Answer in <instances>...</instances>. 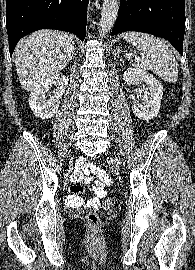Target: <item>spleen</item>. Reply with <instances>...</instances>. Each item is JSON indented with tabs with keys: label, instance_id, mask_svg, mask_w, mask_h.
<instances>
[{
	"label": "spleen",
	"instance_id": "obj_1",
	"mask_svg": "<svg viewBox=\"0 0 195 270\" xmlns=\"http://www.w3.org/2000/svg\"><path fill=\"white\" fill-rule=\"evenodd\" d=\"M125 41L136 45L141 57L136 59L137 66L152 70L161 79L175 83L178 79V67L175 56L168 45L161 39L139 32H128Z\"/></svg>",
	"mask_w": 195,
	"mask_h": 270
}]
</instances>
